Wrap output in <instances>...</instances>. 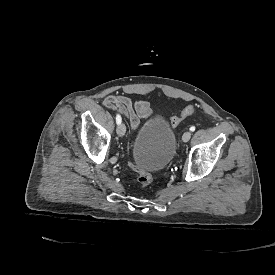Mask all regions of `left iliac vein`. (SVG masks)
Listing matches in <instances>:
<instances>
[{
  "instance_id": "obj_1",
  "label": "left iliac vein",
  "mask_w": 275,
  "mask_h": 275,
  "mask_svg": "<svg viewBox=\"0 0 275 275\" xmlns=\"http://www.w3.org/2000/svg\"><path fill=\"white\" fill-rule=\"evenodd\" d=\"M190 138H191V132L190 131L185 132L182 136V140L184 142H188L190 140Z\"/></svg>"
}]
</instances>
